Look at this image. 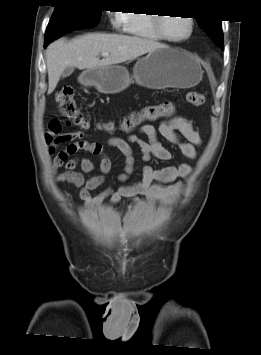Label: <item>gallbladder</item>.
Listing matches in <instances>:
<instances>
[{"label": "gallbladder", "mask_w": 261, "mask_h": 355, "mask_svg": "<svg viewBox=\"0 0 261 355\" xmlns=\"http://www.w3.org/2000/svg\"><path fill=\"white\" fill-rule=\"evenodd\" d=\"M74 71V67L72 66H68L64 69L63 73H62V77L66 78L68 76H70Z\"/></svg>", "instance_id": "1"}]
</instances>
